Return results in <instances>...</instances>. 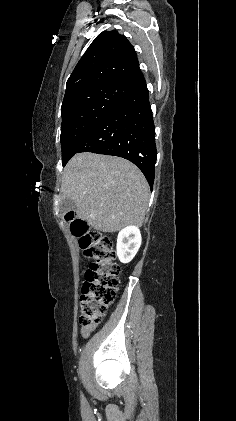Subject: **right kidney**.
<instances>
[{"label": "right kidney", "mask_w": 236, "mask_h": 421, "mask_svg": "<svg viewBox=\"0 0 236 421\" xmlns=\"http://www.w3.org/2000/svg\"><path fill=\"white\" fill-rule=\"evenodd\" d=\"M141 233L137 227H125L117 237V257L121 263H130L141 245Z\"/></svg>", "instance_id": "obj_1"}]
</instances>
